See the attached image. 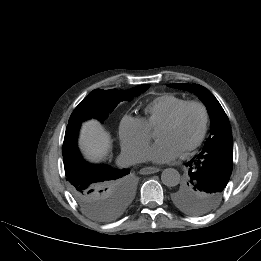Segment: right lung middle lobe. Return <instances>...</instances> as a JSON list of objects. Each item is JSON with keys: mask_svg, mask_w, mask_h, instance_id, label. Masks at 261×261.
Listing matches in <instances>:
<instances>
[{"mask_svg": "<svg viewBox=\"0 0 261 261\" xmlns=\"http://www.w3.org/2000/svg\"><path fill=\"white\" fill-rule=\"evenodd\" d=\"M149 88V85L136 86L129 91L93 90L73 111L69 123L97 118L103 122L122 101H130ZM123 175L109 177L98 183L83 184L78 177L67 178L70 191L83 211L99 221H111L121 215L133 197V185Z\"/></svg>", "mask_w": 261, "mask_h": 261, "instance_id": "obj_1", "label": "right lung middle lobe"}]
</instances>
